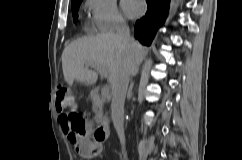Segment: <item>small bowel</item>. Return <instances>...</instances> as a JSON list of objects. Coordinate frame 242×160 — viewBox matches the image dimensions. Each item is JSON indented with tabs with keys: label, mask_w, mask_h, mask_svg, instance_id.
I'll list each match as a JSON object with an SVG mask.
<instances>
[{
	"label": "small bowel",
	"mask_w": 242,
	"mask_h": 160,
	"mask_svg": "<svg viewBox=\"0 0 242 160\" xmlns=\"http://www.w3.org/2000/svg\"><path fill=\"white\" fill-rule=\"evenodd\" d=\"M61 128L64 133H66L68 140L75 145L77 153L82 157H89L87 153L92 147L91 144V125L87 122L86 131L82 135H76L69 131L68 125L65 121L60 119Z\"/></svg>",
	"instance_id": "1"
}]
</instances>
